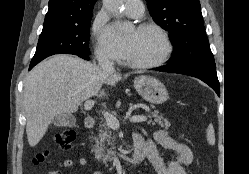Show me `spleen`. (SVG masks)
<instances>
[{"instance_id":"3e777b00","label":"spleen","mask_w":249,"mask_h":174,"mask_svg":"<svg viewBox=\"0 0 249 174\" xmlns=\"http://www.w3.org/2000/svg\"><path fill=\"white\" fill-rule=\"evenodd\" d=\"M207 133V141L210 145L215 144V133H214V128L212 124H209L206 130Z\"/></svg>"}]
</instances>
